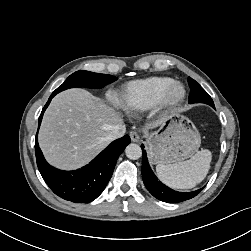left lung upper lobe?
Segmentation results:
<instances>
[{
	"mask_svg": "<svg viewBox=\"0 0 251 251\" xmlns=\"http://www.w3.org/2000/svg\"><path fill=\"white\" fill-rule=\"evenodd\" d=\"M188 84L190 86L189 103H205L211 107H215L213 100L209 94L192 78H188Z\"/></svg>",
	"mask_w": 251,
	"mask_h": 251,
	"instance_id": "1",
	"label": "left lung upper lobe"
}]
</instances>
